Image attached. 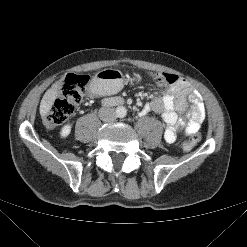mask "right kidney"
<instances>
[{
	"mask_svg": "<svg viewBox=\"0 0 247 247\" xmlns=\"http://www.w3.org/2000/svg\"><path fill=\"white\" fill-rule=\"evenodd\" d=\"M71 132V125H65L61 129L60 135L62 138H66Z\"/></svg>",
	"mask_w": 247,
	"mask_h": 247,
	"instance_id": "obj_1",
	"label": "right kidney"
}]
</instances>
